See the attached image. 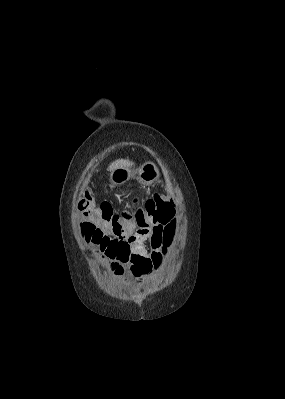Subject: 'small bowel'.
<instances>
[{
    "label": "small bowel",
    "mask_w": 285,
    "mask_h": 399,
    "mask_svg": "<svg viewBox=\"0 0 285 399\" xmlns=\"http://www.w3.org/2000/svg\"><path fill=\"white\" fill-rule=\"evenodd\" d=\"M153 215L146 218L144 225L137 226L136 220L125 221L122 223L117 231L118 237L126 239L131 243L134 254L143 258L150 259L162 247L165 238V229L151 226L153 223ZM148 241L149 248H144L142 243Z\"/></svg>",
    "instance_id": "obj_1"
}]
</instances>
